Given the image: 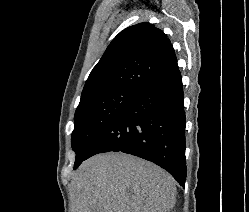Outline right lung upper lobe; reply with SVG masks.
Listing matches in <instances>:
<instances>
[{"instance_id":"cb5924a9","label":"right lung upper lobe","mask_w":249,"mask_h":212,"mask_svg":"<svg viewBox=\"0 0 249 212\" xmlns=\"http://www.w3.org/2000/svg\"><path fill=\"white\" fill-rule=\"evenodd\" d=\"M178 70L174 49L163 31L148 22L120 32L91 71L80 103L115 91L142 90Z\"/></svg>"}]
</instances>
